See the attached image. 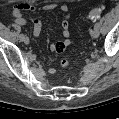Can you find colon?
<instances>
[{
  "label": "colon",
  "instance_id": "1",
  "mask_svg": "<svg viewBox=\"0 0 119 119\" xmlns=\"http://www.w3.org/2000/svg\"><path fill=\"white\" fill-rule=\"evenodd\" d=\"M103 12V7L102 6H94L93 8L90 9L88 13V19L91 21H95L100 18ZM62 67H67L69 65L68 60H62L61 61Z\"/></svg>",
  "mask_w": 119,
  "mask_h": 119
}]
</instances>
